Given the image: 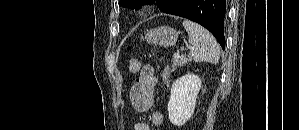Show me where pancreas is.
I'll use <instances>...</instances> for the list:
<instances>
[{
  "instance_id": "obj_1",
  "label": "pancreas",
  "mask_w": 299,
  "mask_h": 130,
  "mask_svg": "<svg viewBox=\"0 0 299 130\" xmlns=\"http://www.w3.org/2000/svg\"><path fill=\"white\" fill-rule=\"evenodd\" d=\"M188 59L186 56H179V57H172V68L173 70L176 69L177 67H182L185 64H187Z\"/></svg>"
}]
</instances>
